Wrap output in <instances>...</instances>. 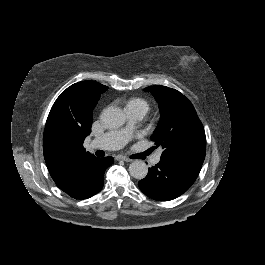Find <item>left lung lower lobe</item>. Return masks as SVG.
Wrapping results in <instances>:
<instances>
[{
    "instance_id": "left-lung-lower-lobe-1",
    "label": "left lung lower lobe",
    "mask_w": 265,
    "mask_h": 265,
    "mask_svg": "<svg viewBox=\"0 0 265 265\" xmlns=\"http://www.w3.org/2000/svg\"><path fill=\"white\" fill-rule=\"evenodd\" d=\"M202 163L161 159L149 168L147 176L138 185L148 197L158 201L175 199L186 192L196 180Z\"/></svg>"
}]
</instances>
